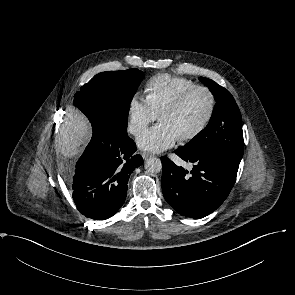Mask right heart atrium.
I'll return each instance as SVG.
<instances>
[{
  "label": "right heart atrium",
  "mask_w": 295,
  "mask_h": 295,
  "mask_svg": "<svg viewBox=\"0 0 295 295\" xmlns=\"http://www.w3.org/2000/svg\"><path fill=\"white\" fill-rule=\"evenodd\" d=\"M128 130L133 135L141 134L152 122L157 119V114L146 98L134 95L130 98L127 108Z\"/></svg>",
  "instance_id": "right-heart-atrium-1"
}]
</instances>
